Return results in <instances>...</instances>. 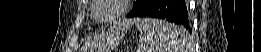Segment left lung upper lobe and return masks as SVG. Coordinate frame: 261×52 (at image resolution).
Here are the masks:
<instances>
[{"instance_id":"obj_1","label":"left lung upper lobe","mask_w":261,"mask_h":52,"mask_svg":"<svg viewBox=\"0 0 261 52\" xmlns=\"http://www.w3.org/2000/svg\"><path fill=\"white\" fill-rule=\"evenodd\" d=\"M153 0H137L134 3L133 10L128 14V17H134L139 13L143 8L148 6Z\"/></svg>"}]
</instances>
